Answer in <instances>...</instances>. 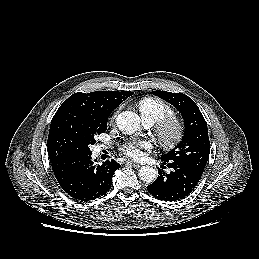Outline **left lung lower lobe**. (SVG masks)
Here are the masks:
<instances>
[{
  "label": "left lung lower lobe",
  "mask_w": 259,
  "mask_h": 259,
  "mask_svg": "<svg viewBox=\"0 0 259 259\" xmlns=\"http://www.w3.org/2000/svg\"><path fill=\"white\" fill-rule=\"evenodd\" d=\"M161 168H158L156 181L147 186L152 196L164 201H176L190 194L198 184L201 174L195 172L190 166L174 161H163ZM164 164L171 169L166 174Z\"/></svg>",
  "instance_id": "1"
}]
</instances>
